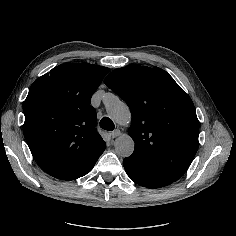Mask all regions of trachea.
<instances>
[{"label": "trachea", "mask_w": 236, "mask_h": 236, "mask_svg": "<svg viewBox=\"0 0 236 236\" xmlns=\"http://www.w3.org/2000/svg\"><path fill=\"white\" fill-rule=\"evenodd\" d=\"M100 127L104 130L112 131V130H114L115 125L110 118L104 117L100 121Z\"/></svg>", "instance_id": "obj_1"}]
</instances>
